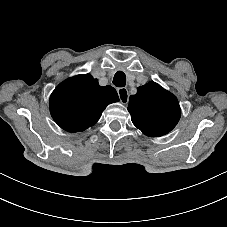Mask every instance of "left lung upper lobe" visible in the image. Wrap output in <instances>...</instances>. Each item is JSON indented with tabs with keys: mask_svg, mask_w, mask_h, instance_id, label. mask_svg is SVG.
Listing matches in <instances>:
<instances>
[{
	"mask_svg": "<svg viewBox=\"0 0 227 227\" xmlns=\"http://www.w3.org/2000/svg\"><path fill=\"white\" fill-rule=\"evenodd\" d=\"M128 111L133 124L145 135L159 137L178 123L181 110L177 98L155 82H149L130 96Z\"/></svg>",
	"mask_w": 227,
	"mask_h": 227,
	"instance_id": "obj_1",
	"label": "left lung upper lobe"
}]
</instances>
